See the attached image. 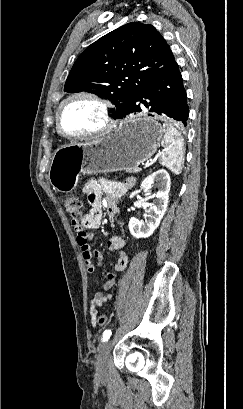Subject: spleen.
I'll return each instance as SVG.
<instances>
[{
    "mask_svg": "<svg viewBox=\"0 0 243 409\" xmlns=\"http://www.w3.org/2000/svg\"><path fill=\"white\" fill-rule=\"evenodd\" d=\"M163 133L161 144L164 151L161 153L159 162L178 175L182 171L184 162V140L180 132L169 122L163 123Z\"/></svg>",
    "mask_w": 243,
    "mask_h": 409,
    "instance_id": "3e777b00",
    "label": "spleen"
}]
</instances>
